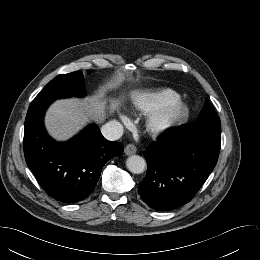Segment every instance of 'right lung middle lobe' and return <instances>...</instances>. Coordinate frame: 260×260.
<instances>
[{"instance_id": "dd1d6c3e", "label": "right lung middle lobe", "mask_w": 260, "mask_h": 260, "mask_svg": "<svg viewBox=\"0 0 260 260\" xmlns=\"http://www.w3.org/2000/svg\"><path fill=\"white\" fill-rule=\"evenodd\" d=\"M85 95L84 79L81 71L61 74L51 80L34 100H55L72 96Z\"/></svg>"}]
</instances>
